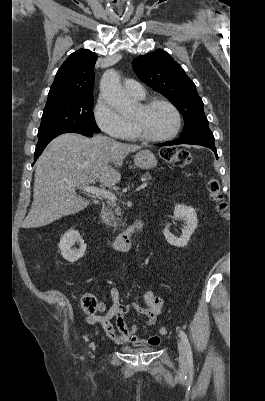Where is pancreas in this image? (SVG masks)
<instances>
[{"label":"pancreas","mask_w":265,"mask_h":401,"mask_svg":"<svg viewBox=\"0 0 265 401\" xmlns=\"http://www.w3.org/2000/svg\"><path fill=\"white\" fill-rule=\"evenodd\" d=\"M141 178L150 180L152 176H150L149 172H145V174H142ZM121 215L122 213L120 211V207H118L116 203H111V201H108L107 207L102 209L101 219L103 223H106V225H113V227H117L118 223H120V219H118V217H121Z\"/></svg>","instance_id":"pancreas-1"}]
</instances>
